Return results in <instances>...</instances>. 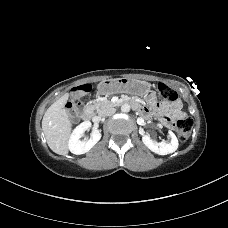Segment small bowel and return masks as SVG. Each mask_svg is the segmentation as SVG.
Here are the masks:
<instances>
[{
    "instance_id": "1",
    "label": "small bowel",
    "mask_w": 228,
    "mask_h": 228,
    "mask_svg": "<svg viewBox=\"0 0 228 228\" xmlns=\"http://www.w3.org/2000/svg\"><path fill=\"white\" fill-rule=\"evenodd\" d=\"M134 101L136 103H138V101H136V100H134ZM147 101L150 104H155V93H153V92L150 93L147 97ZM181 108H182V104L179 100L174 101L170 105H158L157 106V110L160 114V119L167 124H171L174 119L184 117V113L182 112ZM137 109H139L144 114L149 113V109L146 107L139 105Z\"/></svg>"
}]
</instances>
